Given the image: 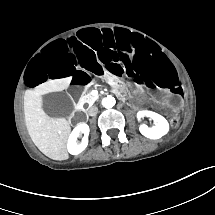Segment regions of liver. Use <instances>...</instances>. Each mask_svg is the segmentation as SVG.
<instances>
[{
    "label": "liver",
    "instance_id": "liver-1",
    "mask_svg": "<svg viewBox=\"0 0 215 215\" xmlns=\"http://www.w3.org/2000/svg\"><path fill=\"white\" fill-rule=\"evenodd\" d=\"M72 77L50 80L24 96V113L28 133L38 149L54 160L68 159L66 143L71 127L65 118L49 117L42 109L40 96L67 89Z\"/></svg>",
    "mask_w": 215,
    "mask_h": 215
}]
</instances>
